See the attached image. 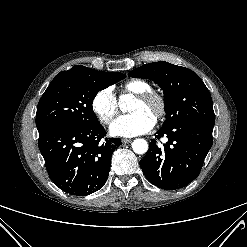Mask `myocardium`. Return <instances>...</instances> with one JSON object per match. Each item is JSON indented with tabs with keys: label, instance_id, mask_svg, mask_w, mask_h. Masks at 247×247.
I'll return each mask as SVG.
<instances>
[{
	"label": "myocardium",
	"instance_id": "obj_1",
	"mask_svg": "<svg viewBox=\"0 0 247 247\" xmlns=\"http://www.w3.org/2000/svg\"><path fill=\"white\" fill-rule=\"evenodd\" d=\"M136 99L144 104H156V112L154 116L156 120H160L165 116L167 111V102L162 94L150 90L136 95Z\"/></svg>",
	"mask_w": 247,
	"mask_h": 247
}]
</instances>
